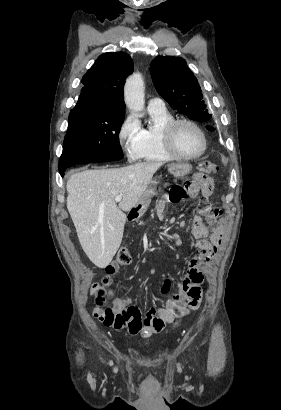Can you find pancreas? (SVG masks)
<instances>
[{
	"label": "pancreas",
	"instance_id": "1",
	"mask_svg": "<svg viewBox=\"0 0 281 410\" xmlns=\"http://www.w3.org/2000/svg\"><path fill=\"white\" fill-rule=\"evenodd\" d=\"M153 195H157V192H156V191H154V192H153Z\"/></svg>",
	"mask_w": 281,
	"mask_h": 410
}]
</instances>
